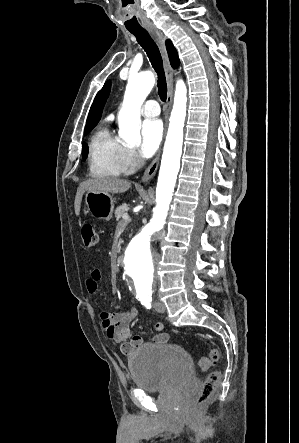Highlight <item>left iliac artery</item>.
Wrapping results in <instances>:
<instances>
[{"label":"left iliac artery","instance_id":"obj_1","mask_svg":"<svg viewBox=\"0 0 299 443\" xmlns=\"http://www.w3.org/2000/svg\"><path fill=\"white\" fill-rule=\"evenodd\" d=\"M142 305H144L147 309L151 308V299L143 300Z\"/></svg>","mask_w":299,"mask_h":443}]
</instances>
